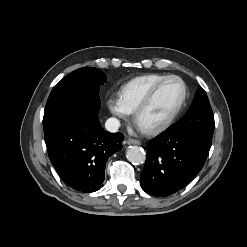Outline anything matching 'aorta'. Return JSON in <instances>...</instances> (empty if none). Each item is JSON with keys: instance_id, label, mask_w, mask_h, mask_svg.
<instances>
[{"instance_id": "obj_1", "label": "aorta", "mask_w": 247, "mask_h": 247, "mask_svg": "<svg viewBox=\"0 0 247 247\" xmlns=\"http://www.w3.org/2000/svg\"><path fill=\"white\" fill-rule=\"evenodd\" d=\"M126 157L129 162L135 165L143 164L146 159L144 150L138 146H130L126 151Z\"/></svg>"}]
</instances>
